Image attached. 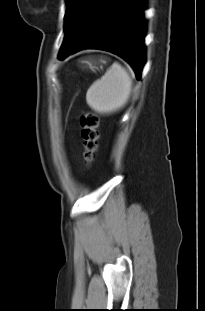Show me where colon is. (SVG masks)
I'll list each match as a JSON object with an SVG mask.
<instances>
[{
	"label": "colon",
	"instance_id": "colon-1",
	"mask_svg": "<svg viewBox=\"0 0 205 311\" xmlns=\"http://www.w3.org/2000/svg\"><path fill=\"white\" fill-rule=\"evenodd\" d=\"M99 123L98 115L93 112H86L80 117L83 159L88 166L96 159L100 137Z\"/></svg>",
	"mask_w": 205,
	"mask_h": 311
}]
</instances>
